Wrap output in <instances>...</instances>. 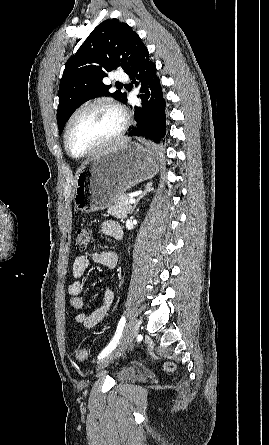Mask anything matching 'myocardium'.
I'll list each match as a JSON object with an SVG mask.
<instances>
[{
    "label": "myocardium",
    "instance_id": "obj_1",
    "mask_svg": "<svg viewBox=\"0 0 269 445\" xmlns=\"http://www.w3.org/2000/svg\"><path fill=\"white\" fill-rule=\"evenodd\" d=\"M96 106H104V107H108L110 109H112L113 111H115L121 120V124L120 127L118 128V130L108 139L104 140L103 142H101L100 144H98L97 146H95L94 148L90 149L89 151L83 153V154H79L76 155L74 154L69 146H68V133L71 127V124L73 123V121L75 120V118L82 112H84L85 110H88L90 108L96 107ZM129 125V121H128V117L125 113V111L114 101L108 99V98H98V99H94L92 101H89L87 103H85L84 105L80 106L79 108H77L69 117V119L67 120L66 124H65V128H64V132H63V144H64V148L67 152V154L69 156H71L74 159H83L89 156H92L98 152H100L101 150H103L104 148L108 147L109 145L113 144L114 142H116L118 139H120L124 133L126 132L127 128Z\"/></svg>",
    "mask_w": 269,
    "mask_h": 445
}]
</instances>
